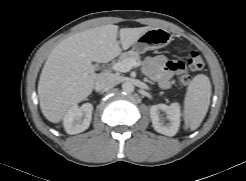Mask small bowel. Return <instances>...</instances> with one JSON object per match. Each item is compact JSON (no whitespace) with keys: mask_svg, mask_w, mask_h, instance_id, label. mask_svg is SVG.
Here are the masks:
<instances>
[{"mask_svg":"<svg viewBox=\"0 0 246 181\" xmlns=\"http://www.w3.org/2000/svg\"><path fill=\"white\" fill-rule=\"evenodd\" d=\"M183 68L182 63L170 61L164 55H156L145 60V71L160 86L167 88L174 73Z\"/></svg>","mask_w":246,"mask_h":181,"instance_id":"small-bowel-1","label":"small bowel"}]
</instances>
